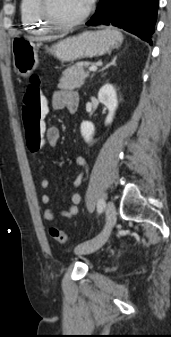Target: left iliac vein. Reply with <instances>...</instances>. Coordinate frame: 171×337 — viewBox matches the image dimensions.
Returning <instances> with one entry per match:
<instances>
[{"mask_svg":"<svg viewBox=\"0 0 171 337\" xmlns=\"http://www.w3.org/2000/svg\"><path fill=\"white\" fill-rule=\"evenodd\" d=\"M116 223V208L112 201L106 205V225L104 230L95 238L81 243L75 248L77 255L89 254L100 249L108 240V237Z\"/></svg>","mask_w":171,"mask_h":337,"instance_id":"left-iliac-vein-1","label":"left iliac vein"}]
</instances>
